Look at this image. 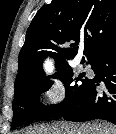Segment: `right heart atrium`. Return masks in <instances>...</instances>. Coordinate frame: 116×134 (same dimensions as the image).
I'll use <instances>...</instances> for the list:
<instances>
[{"label":"right heart atrium","mask_w":116,"mask_h":134,"mask_svg":"<svg viewBox=\"0 0 116 134\" xmlns=\"http://www.w3.org/2000/svg\"><path fill=\"white\" fill-rule=\"evenodd\" d=\"M42 97L50 107L61 105L67 97V88L59 79L49 82L42 91Z\"/></svg>","instance_id":"obj_1"}]
</instances>
